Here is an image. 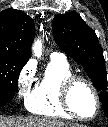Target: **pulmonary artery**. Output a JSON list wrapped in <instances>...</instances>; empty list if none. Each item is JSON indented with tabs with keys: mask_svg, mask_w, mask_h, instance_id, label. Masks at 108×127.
Returning <instances> with one entry per match:
<instances>
[{
	"mask_svg": "<svg viewBox=\"0 0 108 127\" xmlns=\"http://www.w3.org/2000/svg\"><path fill=\"white\" fill-rule=\"evenodd\" d=\"M51 59H53V60H66V57L62 53L53 52L51 54Z\"/></svg>",
	"mask_w": 108,
	"mask_h": 127,
	"instance_id": "pulmonary-artery-1",
	"label": "pulmonary artery"
}]
</instances>
